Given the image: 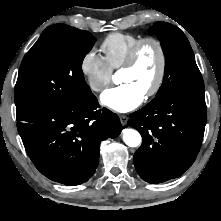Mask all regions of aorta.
I'll list each match as a JSON object with an SVG mask.
<instances>
[{"label": "aorta", "mask_w": 221, "mask_h": 221, "mask_svg": "<svg viewBox=\"0 0 221 221\" xmlns=\"http://www.w3.org/2000/svg\"><path fill=\"white\" fill-rule=\"evenodd\" d=\"M122 139L129 147H137L141 144L142 138L140 133L135 129H124Z\"/></svg>", "instance_id": "aorta-1"}]
</instances>
